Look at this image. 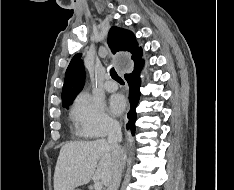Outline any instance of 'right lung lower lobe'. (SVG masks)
Returning a JSON list of instances; mask_svg holds the SVG:
<instances>
[{
  "instance_id": "obj_1",
  "label": "right lung lower lobe",
  "mask_w": 234,
  "mask_h": 190,
  "mask_svg": "<svg viewBox=\"0 0 234 190\" xmlns=\"http://www.w3.org/2000/svg\"><path fill=\"white\" fill-rule=\"evenodd\" d=\"M142 52L137 56V58L134 60V70L130 74H125V79L129 84L130 87V111L127 114V129L129 132L134 135L135 133V121L137 119V113L135 111L136 106L138 104L139 98H140V70L143 66V60L141 59L140 55Z\"/></svg>"
}]
</instances>
